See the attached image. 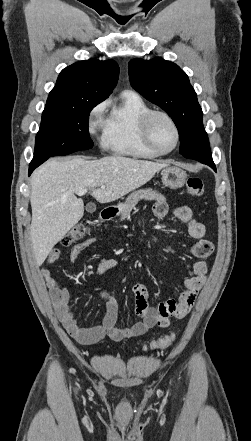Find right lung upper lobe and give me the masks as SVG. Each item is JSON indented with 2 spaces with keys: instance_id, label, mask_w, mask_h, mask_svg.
<instances>
[{
  "instance_id": "obj_1",
  "label": "right lung upper lobe",
  "mask_w": 251,
  "mask_h": 441,
  "mask_svg": "<svg viewBox=\"0 0 251 441\" xmlns=\"http://www.w3.org/2000/svg\"><path fill=\"white\" fill-rule=\"evenodd\" d=\"M119 67L114 60L89 59L66 67L49 93L47 105H71L96 97L106 99L117 84Z\"/></svg>"
}]
</instances>
